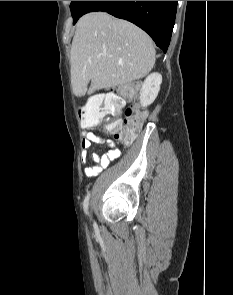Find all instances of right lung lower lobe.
<instances>
[{"label": "right lung lower lobe", "mask_w": 233, "mask_h": 295, "mask_svg": "<svg viewBox=\"0 0 233 295\" xmlns=\"http://www.w3.org/2000/svg\"><path fill=\"white\" fill-rule=\"evenodd\" d=\"M178 1H87L82 15L103 11L146 31L165 53L170 43Z\"/></svg>", "instance_id": "98d812e1"}]
</instances>
